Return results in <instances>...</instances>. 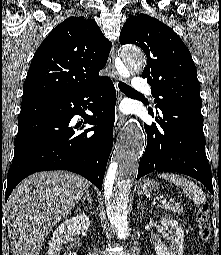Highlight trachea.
Listing matches in <instances>:
<instances>
[{
	"label": "trachea",
	"instance_id": "obj_1",
	"mask_svg": "<svg viewBox=\"0 0 221 255\" xmlns=\"http://www.w3.org/2000/svg\"><path fill=\"white\" fill-rule=\"evenodd\" d=\"M118 87L121 91L129 94H134V95H140L138 92H136L134 89H132L129 85L119 82Z\"/></svg>",
	"mask_w": 221,
	"mask_h": 255
}]
</instances>
